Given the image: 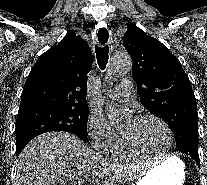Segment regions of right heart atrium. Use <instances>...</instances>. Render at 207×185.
Listing matches in <instances>:
<instances>
[{"label":"right heart atrium","instance_id":"1","mask_svg":"<svg viewBox=\"0 0 207 185\" xmlns=\"http://www.w3.org/2000/svg\"><path fill=\"white\" fill-rule=\"evenodd\" d=\"M88 136L93 148L106 152L119 138V134L110 126L105 116L98 111L92 113L88 125Z\"/></svg>","mask_w":207,"mask_h":185}]
</instances>
